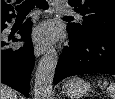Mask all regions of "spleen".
<instances>
[{"label": "spleen", "instance_id": "spleen-1", "mask_svg": "<svg viewBox=\"0 0 115 99\" xmlns=\"http://www.w3.org/2000/svg\"><path fill=\"white\" fill-rule=\"evenodd\" d=\"M100 83H101V81H99V84ZM107 85H108V83L106 81H104L102 86L106 87ZM108 91H109V95L111 96V98L115 99V83H111L109 85Z\"/></svg>", "mask_w": 115, "mask_h": 99}]
</instances>
